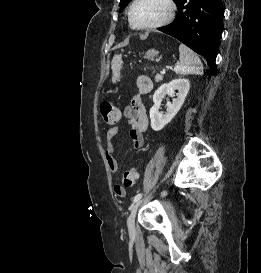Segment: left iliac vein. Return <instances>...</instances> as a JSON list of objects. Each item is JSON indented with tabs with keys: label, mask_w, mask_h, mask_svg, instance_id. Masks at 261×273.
I'll use <instances>...</instances> for the list:
<instances>
[{
	"label": "left iliac vein",
	"mask_w": 261,
	"mask_h": 273,
	"mask_svg": "<svg viewBox=\"0 0 261 273\" xmlns=\"http://www.w3.org/2000/svg\"><path fill=\"white\" fill-rule=\"evenodd\" d=\"M145 200H139L132 208L131 213L128 217L127 220V226H128V230L130 235H134L135 234V218H136V214L138 209L141 207V205L143 204Z\"/></svg>",
	"instance_id": "obj_1"
}]
</instances>
